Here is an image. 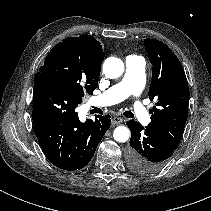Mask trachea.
<instances>
[{
	"mask_svg": "<svg viewBox=\"0 0 211 211\" xmlns=\"http://www.w3.org/2000/svg\"><path fill=\"white\" fill-rule=\"evenodd\" d=\"M124 116L127 118H133L134 114L131 111H126V112H124Z\"/></svg>",
	"mask_w": 211,
	"mask_h": 211,
	"instance_id": "trachea-1",
	"label": "trachea"
}]
</instances>
